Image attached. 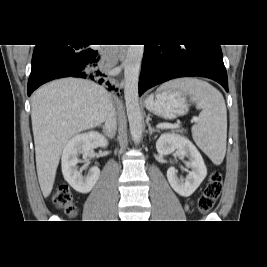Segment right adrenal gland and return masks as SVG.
Wrapping results in <instances>:
<instances>
[{
    "label": "right adrenal gland",
    "mask_w": 267,
    "mask_h": 267,
    "mask_svg": "<svg viewBox=\"0 0 267 267\" xmlns=\"http://www.w3.org/2000/svg\"><path fill=\"white\" fill-rule=\"evenodd\" d=\"M99 127H100V126H99ZM101 128H102L103 132H105V128H104V126H101Z\"/></svg>",
    "instance_id": "2a0ac1e0"
}]
</instances>
